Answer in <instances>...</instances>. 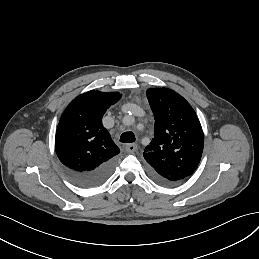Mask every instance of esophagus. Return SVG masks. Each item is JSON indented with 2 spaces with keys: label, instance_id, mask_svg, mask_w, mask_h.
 Returning a JSON list of instances; mask_svg holds the SVG:
<instances>
[{
  "label": "esophagus",
  "instance_id": "1",
  "mask_svg": "<svg viewBox=\"0 0 259 259\" xmlns=\"http://www.w3.org/2000/svg\"><path fill=\"white\" fill-rule=\"evenodd\" d=\"M125 150L129 153H134L135 151L138 150V145L135 143L127 144L125 146Z\"/></svg>",
  "mask_w": 259,
  "mask_h": 259
}]
</instances>
